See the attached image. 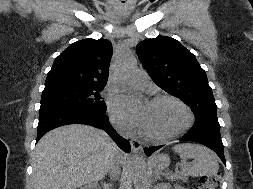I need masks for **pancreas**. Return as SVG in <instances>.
<instances>
[{
	"label": "pancreas",
	"mask_w": 253,
	"mask_h": 189,
	"mask_svg": "<svg viewBox=\"0 0 253 189\" xmlns=\"http://www.w3.org/2000/svg\"><path fill=\"white\" fill-rule=\"evenodd\" d=\"M172 179H175V178H179L183 181H186V174H184L183 172L181 173V175H174V176H171Z\"/></svg>",
	"instance_id": "pancreas-1"
}]
</instances>
